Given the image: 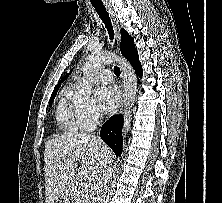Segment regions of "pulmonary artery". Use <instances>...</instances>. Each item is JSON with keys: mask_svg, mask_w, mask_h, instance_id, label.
Masks as SVG:
<instances>
[{"mask_svg": "<svg viewBox=\"0 0 222 203\" xmlns=\"http://www.w3.org/2000/svg\"><path fill=\"white\" fill-rule=\"evenodd\" d=\"M98 79L101 83L107 84L112 81V73L109 69H103L98 74Z\"/></svg>", "mask_w": 222, "mask_h": 203, "instance_id": "pulmonary-artery-1", "label": "pulmonary artery"}]
</instances>
